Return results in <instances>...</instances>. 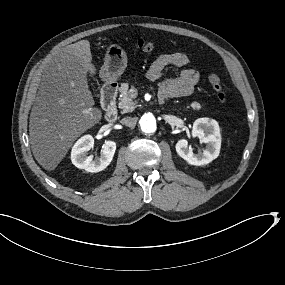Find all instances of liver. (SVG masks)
<instances>
[{"label":"liver","mask_w":285,"mask_h":285,"mask_svg":"<svg viewBox=\"0 0 285 285\" xmlns=\"http://www.w3.org/2000/svg\"><path fill=\"white\" fill-rule=\"evenodd\" d=\"M97 73L88 40L54 51L48 60L29 118L30 148L46 171H55L74 142L101 121L88 83Z\"/></svg>","instance_id":"1"}]
</instances>
